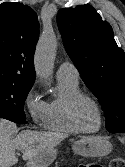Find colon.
<instances>
[{
    "label": "colon",
    "instance_id": "5ec220e1",
    "mask_svg": "<svg viewBox=\"0 0 125 167\" xmlns=\"http://www.w3.org/2000/svg\"><path fill=\"white\" fill-rule=\"evenodd\" d=\"M80 167H93L92 165L80 166ZM110 167H125V158L116 157L111 161Z\"/></svg>",
    "mask_w": 125,
    "mask_h": 167
}]
</instances>
